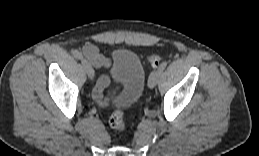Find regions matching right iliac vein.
<instances>
[{"mask_svg": "<svg viewBox=\"0 0 259 156\" xmlns=\"http://www.w3.org/2000/svg\"><path fill=\"white\" fill-rule=\"evenodd\" d=\"M81 63H82V65H83V67H84V69H85V71H86L88 77H89L90 79H93L95 73H94V70H93L91 64H90L86 59H82V60H81Z\"/></svg>", "mask_w": 259, "mask_h": 156, "instance_id": "63e3f726", "label": "right iliac vein"}]
</instances>
